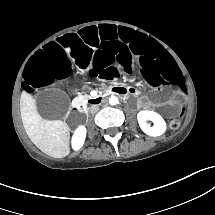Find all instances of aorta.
Segmentation results:
<instances>
[{"instance_id": "1", "label": "aorta", "mask_w": 215, "mask_h": 215, "mask_svg": "<svg viewBox=\"0 0 215 215\" xmlns=\"http://www.w3.org/2000/svg\"><path fill=\"white\" fill-rule=\"evenodd\" d=\"M118 102H119V100H118V97H116V96H111L109 98L110 105H116Z\"/></svg>"}]
</instances>
